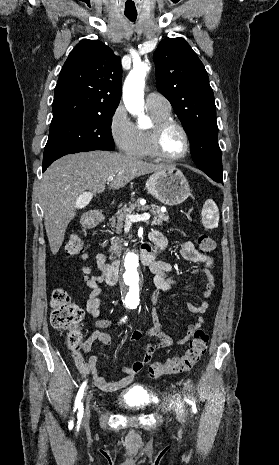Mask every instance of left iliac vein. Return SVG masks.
<instances>
[{"label": "left iliac vein", "mask_w": 279, "mask_h": 465, "mask_svg": "<svg viewBox=\"0 0 279 465\" xmlns=\"http://www.w3.org/2000/svg\"><path fill=\"white\" fill-rule=\"evenodd\" d=\"M176 415L179 421H183L184 419L183 409H182V406L179 404L176 409Z\"/></svg>", "instance_id": "4c4485c4"}]
</instances>
